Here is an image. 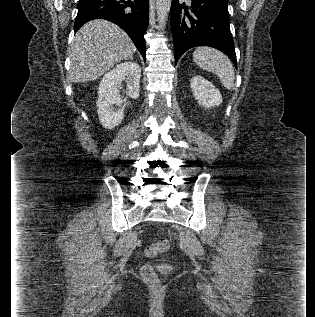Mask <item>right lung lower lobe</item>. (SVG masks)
Returning <instances> with one entry per match:
<instances>
[{
    "label": "right lung lower lobe",
    "mask_w": 315,
    "mask_h": 317,
    "mask_svg": "<svg viewBox=\"0 0 315 317\" xmlns=\"http://www.w3.org/2000/svg\"><path fill=\"white\" fill-rule=\"evenodd\" d=\"M74 30L93 19H107L121 27L132 39L144 60L143 35L149 23V0H80Z\"/></svg>",
    "instance_id": "98d812e1"
}]
</instances>
